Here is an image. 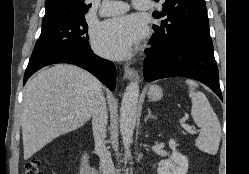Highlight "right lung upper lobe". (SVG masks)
<instances>
[{"label": "right lung upper lobe", "instance_id": "obj_1", "mask_svg": "<svg viewBox=\"0 0 249 174\" xmlns=\"http://www.w3.org/2000/svg\"><path fill=\"white\" fill-rule=\"evenodd\" d=\"M85 2L86 0H46L42 26L84 17L91 7V4Z\"/></svg>", "mask_w": 249, "mask_h": 174}]
</instances>
